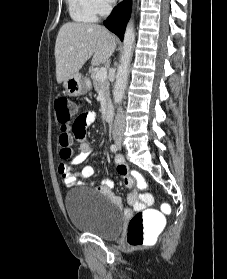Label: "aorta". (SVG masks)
<instances>
[{
    "instance_id": "762f6f07",
    "label": "aorta",
    "mask_w": 227,
    "mask_h": 279,
    "mask_svg": "<svg viewBox=\"0 0 227 279\" xmlns=\"http://www.w3.org/2000/svg\"><path fill=\"white\" fill-rule=\"evenodd\" d=\"M134 41H135V32H134L133 22L131 20L125 32L124 41H123V54L121 56L120 64L118 66L117 74H116V82L113 90V99L115 105L120 104L125 93L129 64L132 58Z\"/></svg>"
}]
</instances>
